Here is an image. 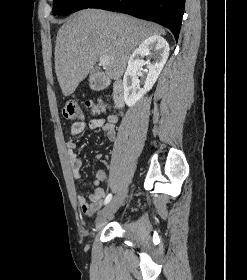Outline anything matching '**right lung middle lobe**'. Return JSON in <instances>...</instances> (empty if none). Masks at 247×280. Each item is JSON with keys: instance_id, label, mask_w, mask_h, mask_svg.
Here are the masks:
<instances>
[{"instance_id": "right-lung-middle-lobe-1", "label": "right lung middle lobe", "mask_w": 247, "mask_h": 280, "mask_svg": "<svg viewBox=\"0 0 247 280\" xmlns=\"http://www.w3.org/2000/svg\"><path fill=\"white\" fill-rule=\"evenodd\" d=\"M98 0H54L53 14L67 15L79 11L81 9L89 8Z\"/></svg>"}]
</instances>
